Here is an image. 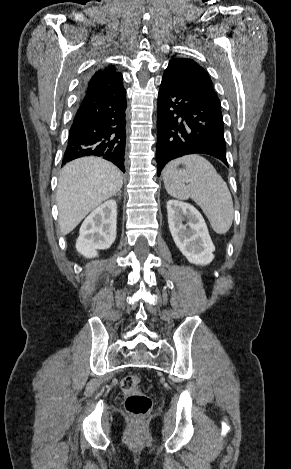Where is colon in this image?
Wrapping results in <instances>:
<instances>
[{"label": "colon", "instance_id": "1", "mask_svg": "<svg viewBox=\"0 0 291 469\" xmlns=\"http://www.w3.org/2000/svg\"><path fill=\"white\" fill-rule=\"evenodd\" d=\"M142 380L138 375L130 374L121 380V389L125 395V409L132 417L141 419L152 409L151 398L142 390Z\"/></svg>", "mask_w": 291, "mask_h": 469}]
</instances>
